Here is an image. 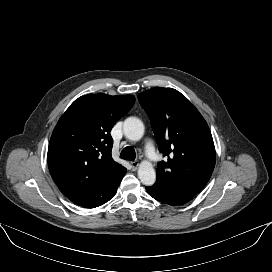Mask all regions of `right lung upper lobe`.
I'll use <instances>...</instances> for the list:
<instances>
[{
    "instance_id": "right-lung-upper-lobe-1",
    "label": "right lung upper lobe",
    "mask_w": 272,
    "mask_h": 272,
    "mask_svg": "<svg viewBox=\"0 0 272 272\" xmlns=\"http://www.w3.org/2000/svg\"><path fill=\"white\" fill-rule=\"evenodd\" d=\"M132 95L88 94L59 119L50 139L48 166L71 201L98 190L122 166L112 159L114 124L133 107Z\"/></svg>"
}]
</instances>
